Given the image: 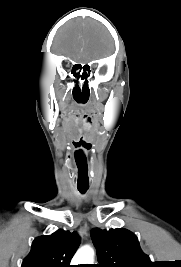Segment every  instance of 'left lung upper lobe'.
Listing matches in <instances>:
<instances>
[{"instance_id":"left-lung-upper-lobe-1","label":"left lung upper lobe","mask_w":181,"mask_h":267,"mask_svg":"<svg viewBox=\"0 0 181 267\" xmlns=\"http://www.w3.org/2000/svg\"><path fill=\"white\" fill-rule=\"evenodd\" d=\"M91 238L99 264L95 267H152L148 255L140 248L136 235L126 229L93 228Z\"/></svg>"}]
</instances>
